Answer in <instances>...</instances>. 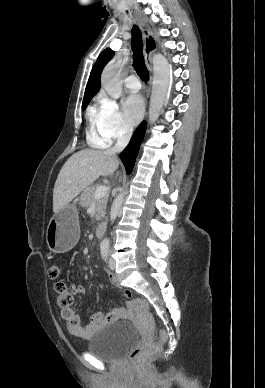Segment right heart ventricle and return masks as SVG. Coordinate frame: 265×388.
Segmentation results:
<instances>
[{
  "mask_svg": "<svg viewBox=\"0 0 265 388\" xmlns=\"http://www.w3.org/2000/svg\"><path fill=\"white\" fill-rule=\"evenodd\" d=\"M94 115L92 114L91 116V126L89 128V131H88V138L90 140V142H92L93 144L97 145V146H100V147H104V146H107L108 143H109V140L105 139L104 137H100L98 135V131H97V128L94 124Z\"/></svg>",
  "mask_w": 265,
  "mask_h": 388,
  "instance_id": "e07e8e85",
  "label": "right heart ventricle"
}]
</instances>
